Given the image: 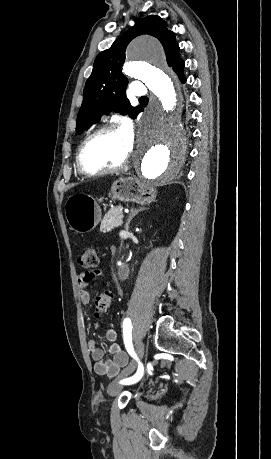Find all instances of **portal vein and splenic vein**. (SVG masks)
<instances>
[{
	"label": "portal vein and splenic vein",
	"mask_w": 271,
	"mask_h": 459,
	"mask_svg": "<svg viewBox=\"0 0 271 459\" xmlns=\"http://www.w3.org/2000/svg\"><path fill=\"white\" fill-rule=\"evenodd\" d=\"M120 219H124V214L118 215Z\"/></svg>",
	"instance_id": "18ae733b"
}]
</instances>
